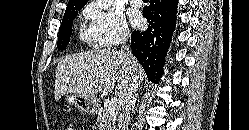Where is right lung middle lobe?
Segmentation results:
<instances>
[{
    "label": "right lung middle lobe",
    "instance_id": "1",
    "mask_svg": "<svg viewBox=\"0 0 249 130\" xmlns=\"http://www.w3.org/2000/svg\"><path fill=\"white\" fill-rule=\"evenodd\" d=\"M82 8L83 6L67 5L61 26L59 28V36L57 43L58 50H64L67 47L72 32L73 19L77 16L78 11Z\"/></svg>",
    "mask_w": 249,
    "mask_h": 130
}]
</instances>
